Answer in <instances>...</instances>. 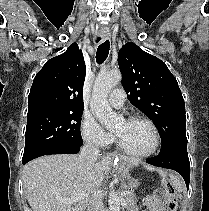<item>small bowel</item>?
<instances>
[{
  "label": "small bowel",
  "instance_id": "obj_1",
  "mask_svg": "<svg viewBox=\"0 0 209 211\" xmlns=\"http://www.w3.org/2000/svg\"><path fill=\"white\" fill-rule=\"evenodd\" d=\"M166 197V192L162 189H159L153 194L145 197V206L148 211H168L167 208H165Z\"/></svg>",
  "mask_w": 209,
  "mask_h": 211
}]
</instances>
